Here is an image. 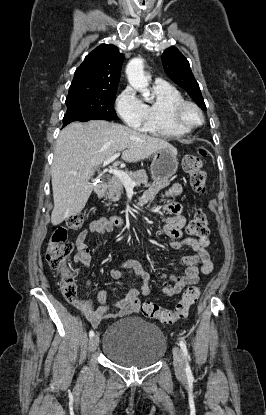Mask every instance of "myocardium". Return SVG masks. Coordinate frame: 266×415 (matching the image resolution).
I'll list each match as a JSON object with an SVG mask.
<instances>
[{"label":"myocardium","mask_w":266,"mask_h":415,"mask_svg":"<svg viewBox=\"0 0 266 415\" xmlns=\"http://www.w3.org/2000/svg\"><path fill=\"white\" fill-rule=\"evenodd\" d=\"M194 110L199 116V121L197 123L190 122L187 119V111ZM171 119L179 127L192 130L201 126L204 123V114L200 107L192 101L189 100H180L174 103L171 107Z\"/></svg>","instance_id":"f54148a6"}]
</instances>
